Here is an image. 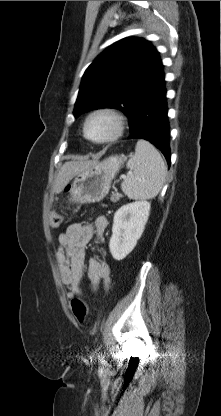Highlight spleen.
Here are the masks:
<instances>
[{"instance_id":"1","label":"spleen","mask_w":221,"mask_h":416,"mask_svg":"<svg viewBox=\"0 0 221 416\" xmlns=\"http://www.w3.org/2000/svg\"><path fill=\"white\" fill-rule=\"evenodd\" d=\"M127 168L130 174L124 179L121 189L129 199L146 200L158 195L167 170L160 153L151 143L138 140Z\"/></svg>"}]
</instances>
